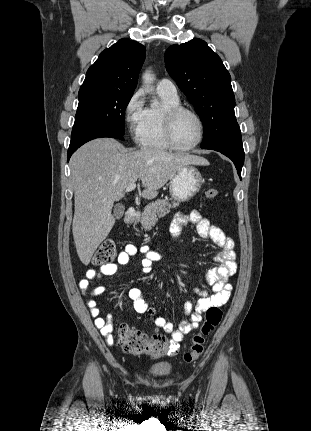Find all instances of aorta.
<instances>
[{"mask_svg": "<svg viewBox=\"0 0 311 431\" xmlns=\"http://www.w3.org/2000/svg\"><path fill=\"white\" fill-rule=\"evenodd\" d=\"M143 84H146L148 88H150V84H154V80H156L154 74H152L151 70H146L142 76ZM155 106H159L158 100H153L151 104V108H155Z\"/></svg>", "mask_w": 311, "mask_h": 431, "instance_id": "aorta-1", "label": "aorta"}]
</instances>
